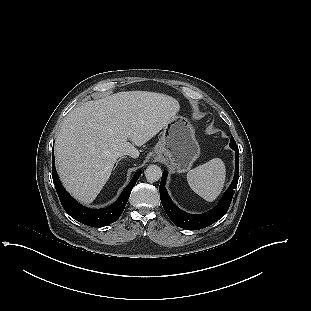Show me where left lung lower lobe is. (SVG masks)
<instances>
[{"instance_id": "obj_1", "label": "left lung lower lobe", "mask_w": 311, "mask_h": 311, "mask_svg": "<svg viewBox=\"0 0 311 311\" xmlns=\"http://www.w3.org/2000/svg\"><path fill=\"white\" fill-rule=\"evenodd\" d=\"M230 147L235 151V158H236L234 179L229 189L225 192V194L221 198L219 204L215 208L204 214L193 215L186 213L180 210L172 202L171 198L169 197L165 189V181L168 172L167 171L163 172L159 188L160 198L163 208L165 209L167 215L175 225L188 230H198L215 223L226 214L234 194V189L237 187L239 178V150L236 143L235 144L231 143Z\"/></svg>"}]
</instances>
